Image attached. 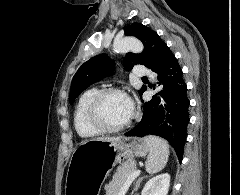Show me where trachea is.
Listing matches in <instances>:
<instances>
[{"label":"trachea","instance_id":"obj_1","mask_svg":"<svg viewBox=\"0 0 240 195\" xmlns=\"http://www.w3.org/2000/svg\"><path fill=\"white\" fill-rule=\"evenodd\" d=\"M143 79H146L147 77H142Z\"/></svg>","mask_w":240,"mask_h":195}]
</instances>
